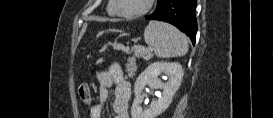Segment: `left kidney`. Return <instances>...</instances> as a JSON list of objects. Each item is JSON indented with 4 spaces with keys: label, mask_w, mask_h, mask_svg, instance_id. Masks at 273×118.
<instances>
[{
    "label": "left kidney",
    "mask_w": 273,
    "mask_h": 118,
    "mask_svg": "<svg viewBox=\"0 0 273 118\" xmlns=\"http://www.w3.org/2000/svg\"><path fill=\"white\" fill-rule=\"evenodd\" d=\"M164 74L169 78L167 83H162L158 76ZM184 75L182 66L177 62H155L149 65L137 78L134 85L135 99L131 107L132 118H156L164 112L172 102V98L179 89ZM148 85L154 89H162L158 100L153 101L149 108L143 109L140 95Z\"/></svg>",
    "instance_id": "5707ae66"
}]
</instances>
